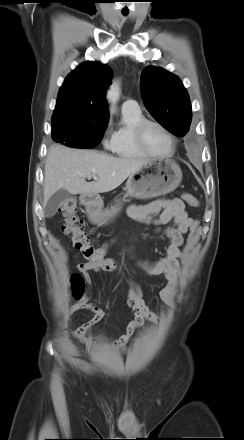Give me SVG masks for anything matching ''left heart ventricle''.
Instances as JSON below:
<instances>
[{
    "instance_id": "left-heart-ventricle-1",
    "label": "left heart ventricle",
    "mask_w": 244,
    "mask_h": 440,
    "mask_svg": "<svg viewBox=\"0 0 244 440\" xmlns=\"http://www.w3.org/2000/svg\"><path fill=\"white\" fill-rule=\"evenodd\" d=\"M146 148L154 154H166L171 150V143L165 133L156 126L149 125L144 131Z\"/></svg>"
}]
</instances>
